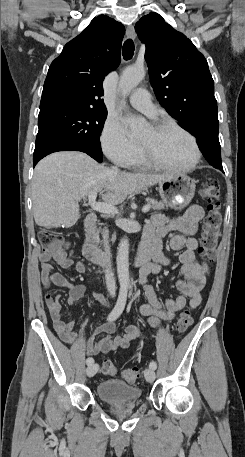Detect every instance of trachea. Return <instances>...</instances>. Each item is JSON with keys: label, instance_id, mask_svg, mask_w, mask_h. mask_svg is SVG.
I'll list each match as a JSON object with an SVG mask.
<instances>
[{"label": "trachea", "instance_id": "3493384b", "mask_svg": "<svg viewBox=\"0 0 245 457\" xmlns=\"http://www.w3.org/2000/svg\"><path fill=\"white\" fill-rule=\"evenodd\" d=\"M134 55V43L131 39L125 41L123 45V57L125 60H130Z\"/></svg>", "mask_w": 245, "mask_h": 457}]
</instances>
